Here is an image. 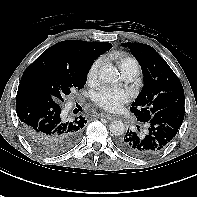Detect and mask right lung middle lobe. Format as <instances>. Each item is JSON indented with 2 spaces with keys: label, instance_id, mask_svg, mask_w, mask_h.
I'll return each mask as SVG.
<instances>
[{
  "label": "right lung middle lobe",
  "instance_id": "1",
  "mask_svg": "<svg viewBox=\"0 0 197 197\" xmlns=\"http://www.w3.org/2000/svg\"><path fill=\"white\" fill-rule=\"evenodd\" d=\"M89 69L71 70L38 57L25 70L20 83L44 89L57 103L62 104L73 89L84 87Z\"/></svg>",
  "mask_w": 197,
  "mask_h": 197
}]
</instances>
